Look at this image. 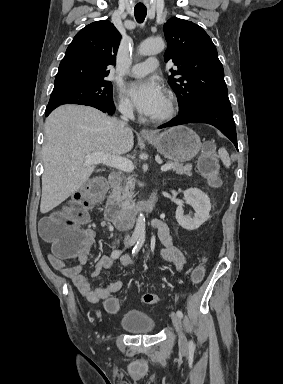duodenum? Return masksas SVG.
Segmentation results:
<instances>
[{"label": "duodenum", "mask_w": 283, "mask_h": 384, "mask_svg": "<svg viewBox=\"0 0 283 384\" xmlns=\"http://www.w3.org/2000/svg\"><path fill=\"white\" fill-rule=\"evenodd\" d=\"M109 182L113 187L121 183V176L118 172H113L109 176ZM157 193H151L136 210L127 212L122 210L119 205L110 199L104 207L105 219L116 228L124 230L134 225L137 217L140 214H147L151 212L157 205Z\"/></svg>", "instance_id": "duodenum-1"}]
</instances>
